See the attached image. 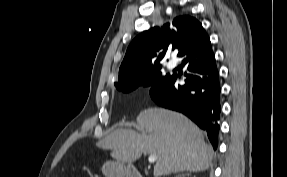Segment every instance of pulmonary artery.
Here are the masks:
<instances>
[{
	"mask_svg": "<svg viewBox=\"0 0 287 177\" xmlns=\"http://www.w3.org/2000/svg\"><path fill=\"white\" fill-rule=\"evenodd\" d=\"M168 68L172 69L174 67H176V62L174 61H169L168 64H167Z\"/></svg>",
	"mask_w": 287,
	"mask_h": 177,
	"instance_id": "e3ab8cb5",
	"label": "pulmonary artery"
}]
</instances>
